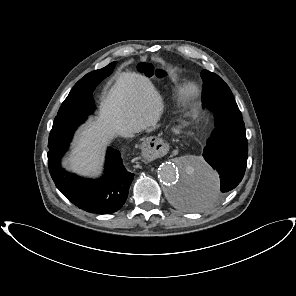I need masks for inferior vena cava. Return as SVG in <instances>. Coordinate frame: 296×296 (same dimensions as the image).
<instances>
[{"label": "inferior vena cava", "instance_id": "1", "mask_svg": "<svg viewBox=\"0 0 296 296\" xmlns=\"http://www.w3.org/2000/svg\"><path fill=\"white\" fill-rule=\"evenodd\" d=\"M134 133H136L135 130H133L131 128H126V129H121L118 132V135H120L121 137H124V138H131L134 136Z\"/></svg>", "mask_w": 296, "mask_h": 296}]
</instances>
